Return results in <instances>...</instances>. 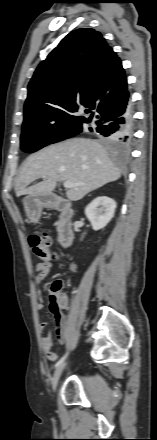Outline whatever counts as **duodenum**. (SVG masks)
Returning <instances> with one entry per match:
<instances>
[{
  "label": "duodenum",
  "mask_w": 157,
  "mask_h": 440,
  "mask_svg": "<svg viewBox=\"0 0 157 440\" xmlns=\"http://www.w3.org/2000/svg\"><path fill=\"white\" fill-rule=\"evenodd\" d=\"M47 206L59 211V217L57 221V234L59 243L63 247H69L73 241V226L72 218L74 210L71 204L67 200L57 198L52 195H48L41 198Z\"/></svg>",
  "instance_id": "obj_1"
}]
</instances>
